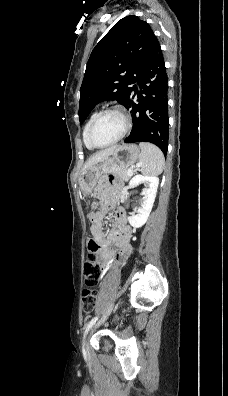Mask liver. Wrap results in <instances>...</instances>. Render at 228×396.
I'll use <instances>...</instances> for the list:
<instances>
[{"instance_id":"1","label":"liver","mask_w":228,"mask_h":396,"mask_svg":"<svg viewBox=\"0 0 228 396\" xmlns=\"http://www.w3.org/2000/svg\"><path fill=\"white\" fill-rule=\"evenodd\" d=\"M118 147V145H114L112 147H109L107 149H104L102 151H99L97 153H95L94 155H92L84 164L82 172L84 170H86L87 168L97 164L98 162L104 160L106 157H108L109 155H111L114 150Z\"/></svg>"}]
</instances>
